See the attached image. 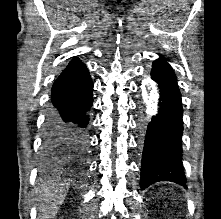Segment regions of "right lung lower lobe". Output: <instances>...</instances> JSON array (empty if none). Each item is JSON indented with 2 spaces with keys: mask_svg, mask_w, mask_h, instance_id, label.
I'll return each mask as SVG.
<instances>
[{
  "mask_svg": "<svg viewBox=\"0 0 221 219\" xmlns=\"http://www.w3.org/2000/svg\"><path fill=\"white\" fill-rule=\"evenodd\" d=\"M45 122L42 169L54 171L79 162L87 150L86 129L93 103L87 67L73 59L55 80Z\"/></svg>",
  "mask_w": 221,
  "mask_h": 219,
  "instance_id": "98d812e1",
  "label": "right lung lower lobe"
}]
</instances>
